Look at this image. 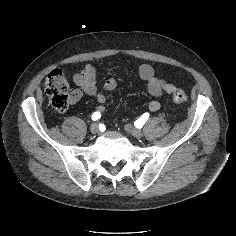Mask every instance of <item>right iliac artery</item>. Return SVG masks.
Segmentation results:
<instances>
[{
  "label": "right iliac artery",
  "mask_w": 236,
  "mask_h": 236,
  "mask_svg": "<svg viewBox=\"0 0 236 236\" xmlns=\"http://www.w3.org/2000/svg\"><path fill=\"white\" fill-rule=\"evenodd\" d=\"M100 117H101L100 112H94L93 115H92V120H93V121H96V120H98Z\"/></svg>",
  "instance_id": "1"
}]
</instances>
